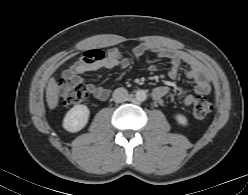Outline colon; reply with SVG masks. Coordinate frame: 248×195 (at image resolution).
Wrapping results in <instances>:
<instances>
[{"label":"colon","mask_w":248,"mask_h":195,"mask_svg":"<svg viewBox=\"0 0 248 195\" xmlns=\"http://www.w3.org/2000/svg\"><path fill=\"white\" fill-rule=\"evenodd\" d=\"M57 90L66 106H74L88 96V90L82 83L71 82L66 78L57 82ZM212 110V104L204 97L196 98L193 114L197 118L206 117Z\"/></svg>","instance_id":"1"}]
</instances>
